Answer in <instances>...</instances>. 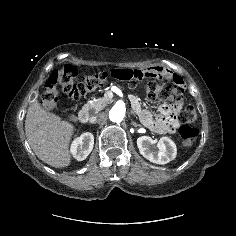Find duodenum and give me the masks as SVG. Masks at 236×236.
I'll list each match as a JSON object with an SVG mask.
<instances>
[{"instance_id":"1","label":"duodenum","mask_w":236,"mask_h":236,"mask_svg":"<svg viewBox=\"0 0 236 236\" xmlns=\"http://www.w3.org/2000/svg\"><path fill=\"white\" fill-rule=\"evenodd\" d=\"M78 118L81 123H87L89 120V111L87 107H81L78 113Z\"/></svg>"}]
</instances>
